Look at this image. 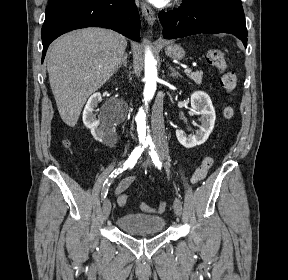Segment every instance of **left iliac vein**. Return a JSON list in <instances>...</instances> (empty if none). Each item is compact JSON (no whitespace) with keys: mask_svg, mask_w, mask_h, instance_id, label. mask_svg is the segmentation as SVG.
<instances>
[{"mask_svg":"<svg viewBox=\"0 0 288 280\" xmlns=\"http://www.w3.org/2000/svg\"><path fill=\"white\" fill-rule=\"evenodd\" d=\"M146 164L147 165H151L152 164V162H151V160L149 158L147 159ZM173 208H174L175 214L177 216H181V214H182V203H178L176 200H174Z\"/></svg>","mask_w":288,"mask_h":280,"instance_id":"1","label":"left iliac vein"}]
</instances>
